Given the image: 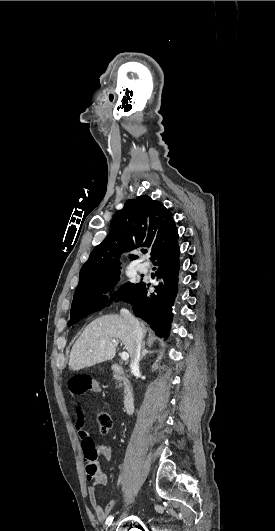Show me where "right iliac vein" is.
<instances>
[{
	"instance_id": "right-iliac-vein-1",
	"label": "right iliac vein",
	"mask_w": 275,
	"mask_h": 531,
	"mask_svg": "<svg viewBox=\"0 0 275 531\" xmlns=\"http://www.w3.org/2000/svg\"><path fill=\"white\" fill-rule=\"evenodd\" d=\"M113 528H114V526H112V527L110 528V531H113Z\"/></svg>"
}]
</instances>
